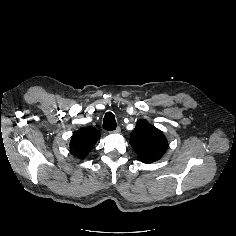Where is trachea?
<instances>
[{
  "label": "trachea",
  "mask_w": 236,
  "mask_h": 236,
  "mask_svg": "<svg viewBox=\"0 0 236 236\" xmlns=\"http://www.w3.org/2000/svg\"><path fill=\"white\" fill-rule=\"evenodd\" d=\"M116 120L112 112H107L103 119V128L107 131H113L116 129Z\"/></svg>",
  "instance_id": "trachea-1"
}]
</instances>
